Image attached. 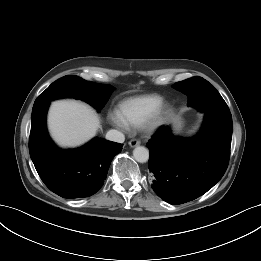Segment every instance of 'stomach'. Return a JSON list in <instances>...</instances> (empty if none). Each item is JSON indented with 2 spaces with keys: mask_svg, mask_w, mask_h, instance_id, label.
I'll use <instances>...</instances> for the list:
<instances>
[{
  "mask_svg": "<svg viewBox=\"0 0 261 261\" xmlns=\"http://www.w3.org/2000/svg\"><path fill=\"white\" fill-rule=\"evenodd\" d=\"M170 122L173 123L175 132L179 133L183 126L181 118L179 116H173L170 118Z\"/></svg>",
  "mask_w": 261,
  "mask_h": 261,
  "instance_id": "obj_1",
  "label": "stomach"
}]
</instances>
